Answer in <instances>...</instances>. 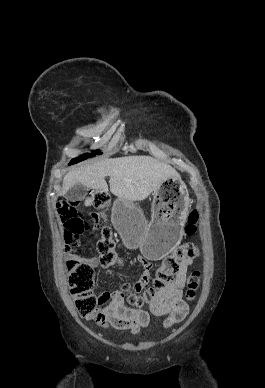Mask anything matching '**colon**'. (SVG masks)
I'll return each instance as SVG.
<instances>
[{
    "label": "colon",
    "instance_id": "colon-1",
    "mask_svg": "<svg viewBox=\"0 0 265 388\" xmlns=\"http://www.w3.org/2000/svg\"><path fill=\"white\" fill-rule=\"evenodd\" d=\"M88 200L93 207L100 211V217L104 215L110 205V197L104 191L91 192ZM56 209L64 225L66 249L71 255L66 263V269L76 309L83 318L96 324H101L104 320V315L98 309L99 296L95 293L96 273L90 264L84 262L75 254V247L79 243L82 234L89 228V225L81 217V212L78 210V202L60 201L57 203ZM197 221L198 213L194 210L190 213L185 227L187 235H193L196 232ZM97 250L100 255V262L105 267L116 266L122 262L115 248L114 232L109 226L102 227L101 239L98 242ZM198 254V247L193 243H185L178 246L160 263L155 272L151 287L140 294L131 285L126 284L121 289L124 297L127 298L130 305L135 307L151 304L156 294L166 289L172 282L180 263L193 259ZM199 281V272H192L188 279L187 300L191 301L195 298Z\"/></svg>",
    "mask_w": 265,
    "mask_h": 388
}]
</instances>
